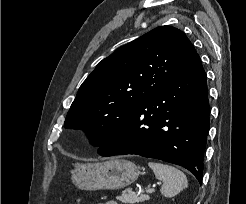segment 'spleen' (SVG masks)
I'll use <instances>...</instances> for the list:
<instances>
[{
  "label": "spleen",
  "mask_w": 246,
  "mask_h": 204,
  "mask_svg": "<svg viewBox=\"0 0 246 204\" xmlns=\"http://www.w3.org/2000/svg\"><path fill=\"white\" fill-rule=\"evenodd\" d=\"M148 166L153 170L155 177L163 181L160 192L165 197H173L187 188L186 175L176 167L168 164L150 161Z\"/></svg>",
  "instance_id": "spleen-1"
}]
</instances>
